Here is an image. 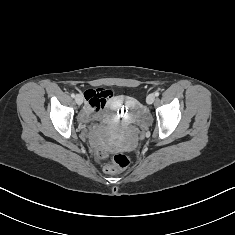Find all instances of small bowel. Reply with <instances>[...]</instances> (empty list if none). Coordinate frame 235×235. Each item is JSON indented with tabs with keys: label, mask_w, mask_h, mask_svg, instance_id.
<instances>
[{
	"label": "small bowel",
	"mask_w": 235,
	"mask_h": 235,
	"mask_svg": "<svg viewBox=\"0 0 235 235\" xmlns=\"http://www.w3.org/2000/svg\"><path fill=\"white\" fill-rule=\"evenodd\" d=\"M105 93H109L106 90H92L88 89L83 92V96L86 102L84 109L80 113V118L82 122L86 123L90 120L110 122L112 121V116L110 113L105 112V107L114 109L117 105L122 102H128L129 99L124 96H119L117 99H109L105 104L101 102V98Z\"/></svg>",
	"instance_id": "obj_1"
}]
</instances>
